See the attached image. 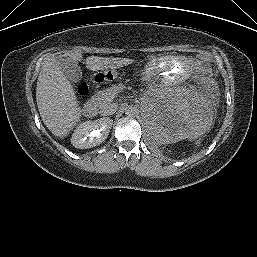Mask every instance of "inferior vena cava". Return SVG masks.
<instances>
[{"label": "inferior vena cava", "mask_w": 257, "mask_h": 257, "mask_svg": "<svg viewBox=\"0 0 257 257\" xmlns=\"http://www.w3.org/2000/svg\"><path fill=\"white\" fill-rule=\"evenodd\" d=\"M117 109H118L117 103H107L101 108L100 114L103 116H110L114 114Z\"/></svg>", "instance_id": "inferior-vena-cava-1"}]
</instances>
